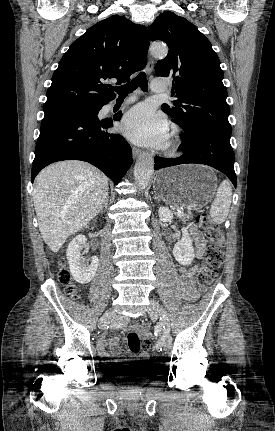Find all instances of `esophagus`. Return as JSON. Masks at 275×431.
<instances>
[{"label":"esophagus","mask_w":275,"mask_h":431,"mask_svg":"<svg viewBox=\"0 0 275 431\" xmlns=\"http://www.w3.org/2000/svg\"><path fill=\"white\" fill-rule=\"evenodd\" d=\"M154 66V60L151 58L150 55H148L147 65H146V72L150 74L153 70ZM133 158H137L141 154V150L138 148H133L132 150Z\"/></svg>","instance_id":"esophagus-1"}]
</instances>
